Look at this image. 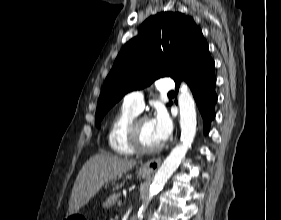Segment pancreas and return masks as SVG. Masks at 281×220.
<instances>
[{
	"instance_id": "obj_1",
	"label": "pancreas",
	"mask_w": 281,
	"mask_h": 220,
	"mask_svg": "<svg viewBox=\"0 0 281 220\" xmlns=\"http://www.w3.org/2000/svg\"><path fill=\"white\" fill-rule=\"evenodd\" d=\"M120 193H116V194H113V195H110L108 197V199L103 203V207L104 208H111L119 199L120 197Z\"/></svg>"
}]
</instances>
